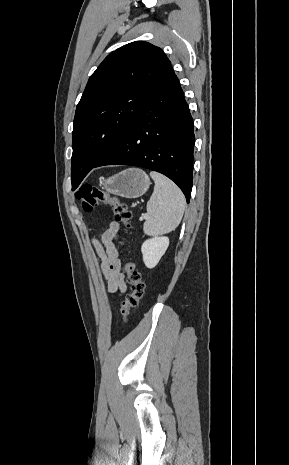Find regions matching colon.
<instances>
[{"mask_svg":"<svg viewBox=\"0 0 289 465\" xmlns=\"http://www.w3.org/2000/svg\"><path fill=\"white\" fill-rule=\"evenodd\" d=\"M75 196L80 200L85 212H92L100 204L110 205L113 208L116 221L124 228L130 227L132 212L128 206L117 198L107 194L101 188L95 185L85 184L75 192ZM123 258L124 265L122 271L126 276V281L131 291L121 304L120 314L124 322H128V316L131 310L139 305L143 297L145 284L140 272L137 270L136 264L126 259L125 253L123 254Z\"/></svg>","mask_w":289,"mask_h":465,"instance_id":"1","label":"colon"}]
</instances>
